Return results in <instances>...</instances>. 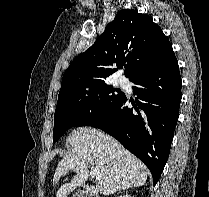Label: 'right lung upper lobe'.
<instances>
[{
	"mask_svg": "<svg viewBox=\"0 0 209 197\" xmlns=\"http://www.w3.org/2000/svg\"><path fill=\"white\" fill-rule=\"evenodd\" d=\"M171 52V43L152 17L123 9L95 43L73 60L63 75L61 89L106 81L125 63V75L131 81L161 63Z\"/></svg>",
	"mask_w": 209,
	"mask_h": 197,
	"instance_id": "cb5924a9",
	"label": "right lung upper lobe"
}]
</instances>
